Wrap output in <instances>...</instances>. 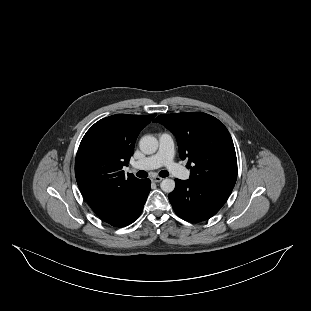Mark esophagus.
Segmentation results:
<instances>
[{
    "instance_id": "1",
    "label": "esophagus",
    "mask_w": 311,
    "mask_h": 311,
    "mask_svg": "<svg viewBox=\"0 0 311 311\" xmlns=\"http://www.w3.org/2000/svg\"><path fill=\"white\" fill-rule=\"evenodd\" d=\"M151 180L153 182L157 183V182H161L163 180V178L162 177H158V176H154V177L151 178Z\"/></svg>"
}]
</instances>
